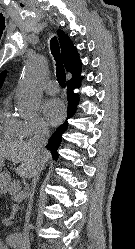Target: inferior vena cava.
Wrapping results in <instances>:
<instances>
[{
  "instance_id": "obj_1",
  "label": "inferior vena cava",
  "mask_w": 135,
  "mask_h": 249,
  "mask_svg": "<svg viewBox=\"0 0 135 249\" xmlns=\"http://www.w3.org/2000/svg\"><path fill=\"white\" fill-rule=\"evenodd\" d=\"M50 136L49 129L46 127H39L36 131L34 137L30 140L31 145L34 147L37 154L41 157L47 152L45 146L48 142V138ZM45 164V161H41V163L35 168L33 175H32V189L30 193V201L28 204V211L26 216V224L24 228L23 238L21 241V249H30V242H29V216L32 209V202H33V195L36 188V184L39 180V176L41 170Z\"/></svg>"
}]
</instances>
